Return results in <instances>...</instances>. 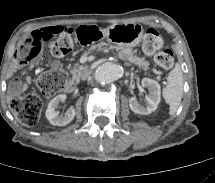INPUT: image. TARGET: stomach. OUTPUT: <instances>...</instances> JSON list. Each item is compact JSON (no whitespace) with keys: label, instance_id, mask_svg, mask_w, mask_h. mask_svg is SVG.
Segmentation results:
<instances>
[{"label":"stomach","instance_id":"0dacf381","mask_svg":"<svg viewBox=\"0 0 215 183\" xmlns=\"http://www.w3.org/2000/svg\"><path fill=\"white\" fill-rule=\"evenodd\" d=\"M101 37L119 47L132 48L137 46L144 34L143 27L136 23L113 24L99 29Z\"/></svg>","mask_w":215,"mask_h":183}]
</instances>
